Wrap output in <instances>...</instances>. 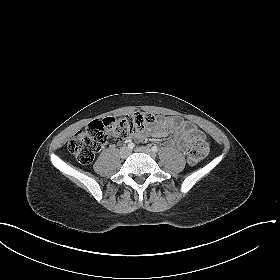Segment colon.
<instances>
[{"label":"colon","mask_w":280,"mask_h":280,"mask_svg":"<svg viewBox=\"0 0 280 280\" xmlns=\"http://www.w3.org/2000/svg\"><path fill=\"white\" fill-rule=\"evenodd\" d=\"M155 121L156 116L153 113L140 112L122 118L96 120L70 139L68 149L80 163L89 164L107 142L121 141ZM208 151L209 145L206 139L201 134L195 135L188 151L189 163L197 164L206 157Z\"/></svg>","instance_id":"5ec220e1"}]
</instances>
